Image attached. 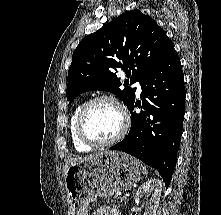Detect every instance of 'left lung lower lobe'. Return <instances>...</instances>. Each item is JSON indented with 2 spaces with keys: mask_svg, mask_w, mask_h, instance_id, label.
Segmentation results:
<instances>
[{
  "mask_svg": "<svg viewBox=\"0 0 221 215\" xmlns=\"http://www.w3.org/2000/svg\"><path fill=\"white\" fill-rule=\"evenodd\" d=\"M140 84L142 103L134 100L128 107L130 131L110 150L131 154L157 169L168 186L177 161L185 112L184 75L173 44ZM135 107L142 111L134 112Z\"/></svg>",
  "mask_w": 221,
  "mask_h": 215,
  "instance_id": "0a47b994",
  "label": "left lung lower lobe"
}]
</instances>
